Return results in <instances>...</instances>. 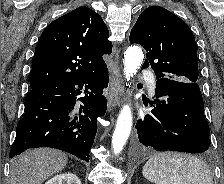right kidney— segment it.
<instances>
[{
    "instance_id": "ca27d5eb",
    "label": "right kidney",
    "mask_w": 224,
    "mask_h": 184,
    "mask_svg": "<svg viewBox=\"0 0 224 184\" xmlns=\"http://www.w3.org/2000/svg\"><path fill=\"white\" fill-rule=\"evenodd\" d=\"M45 184H81L80 179L72 173L56 175Z\"/></svg>"
}]
</instances>
